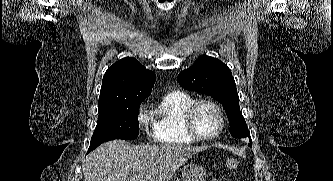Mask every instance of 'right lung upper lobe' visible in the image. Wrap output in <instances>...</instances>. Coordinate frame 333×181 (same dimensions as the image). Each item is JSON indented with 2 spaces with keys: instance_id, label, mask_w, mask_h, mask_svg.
Wrapping results in <instances>:
<instances>
[{
  "instance_id": "right-lung-upper-lobe-1",
  "label": "right lung upper lobe",
  "mask_w": 333,
  "mask_h": 181,
  "mask_svg": "<svg viewBox=\"0 0 333 181\" xmlns=\"http://www.w3.org/2000/svg\"><path fill=\"white\" fill-rule=\"evenodd\" d=\"M155 74L136 59L126 57L107 69L99 96V109L143 101L151 94Z\"/></svg>"
}]
</instances>
